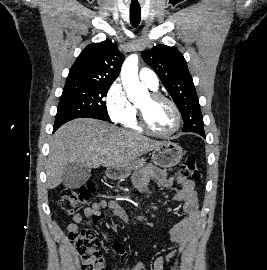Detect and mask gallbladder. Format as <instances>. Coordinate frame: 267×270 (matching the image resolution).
<instances>
[{
    "instance_id": "1",
    "label": "gallbladder",
    "mask_w": 267,
    "mask_h": 270,
    "mask_svg": "<svg viewBox=\"0 0 267 270\" xmlns=\"http://www.w3.org/2000/svg\"><path fill=\"white\" fill-rule=\"evenodd\" d=\"M91 176V169L82 163L68 164L62 173V183L65 187L75 189L84 185Z\"/></svg>"
}]
</instances>
